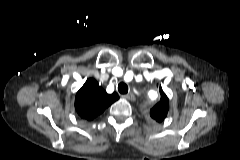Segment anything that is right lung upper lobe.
Returning a JSON list of instances; mask_svg holds the SVG:
<instances>
[{
	"label": "right lung upper lobe",
	"instance_id": "right-lung-upper-lobe-1",
	"mask_svg": "<svg viewBox=\"0 0 240 160\" xmlns=\"http://www.w3.org/2000/svg\"><path fill=\"white\" fill-rule=\"evenodd\" d=\"M119 99L117 93L107 94L96 80L88 79L75 98V109L84 119L91 120Z\"/></svg>",
	"mask_w": 240,
	"mask_h": 160
}]
</instances>
